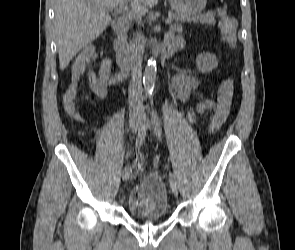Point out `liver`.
Masks as SVG:
<instances>
[{"label": "liver", "mask_w": 295, "mask_h": 250, "mask_svg": "<svg viewBox=\"0 0 295 250\" xmlns=\"http://www.w3.org/2000/svg\"><path fill=\"white\" fill-rule=\"evenodd\" d=\"M131 1L140 15L148 12L159 0H56L54 27L60 69L64 70L73 57L97 39L110 25L109 9Z\"/></svg>", "instance_id": "6515ba94"}]
</instances>
